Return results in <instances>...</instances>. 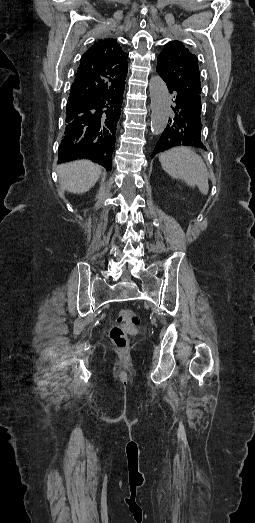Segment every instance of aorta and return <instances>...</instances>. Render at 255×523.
Here are the masks:
<instances>
[{
	"mask_svg": "<svg viewBox=\"0 0 255 523\" xmlns=\"http://www.w3.org/2000/svg\"><path fill=\"white\" fill-rule=\"evenodd\" d=\"M151 97V131L160 135L169 119L170 98L165 82L158 76H152L149 81Z\"/></svg>",
	"mask_w": 255,
	"mask_h": 523,
	"instance_id": "1",
	"label": "aorta"
}]
</instances>
